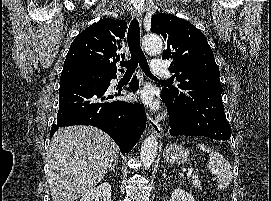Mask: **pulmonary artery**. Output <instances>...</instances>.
<instances>
[{"label": "pulmonary artery", "mask_w": 271, "mask_h": 201, "mask_svg": "<svg viewBox=\"0 0 271 201\" xmlns=\"http://www.w3.org/2000/svg\"><path fill=\"white\" fill-rule=\"evenodd\" d=\"M151 71L154 75L157 76L166 77L169 75L167 63L164 60L158 58L153 59L151 64Z\"/></svg>", "instance_id": "1"}]
</instances>
